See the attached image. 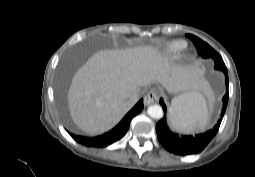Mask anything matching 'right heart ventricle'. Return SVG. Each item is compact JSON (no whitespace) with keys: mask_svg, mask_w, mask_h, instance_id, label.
Segmentation results:
<instances>
[{"mask_svg":"<svg viewBox=\"0 0 255 177\" xmlns=\"http://www.w3.org/2000/svg\"><path fill=\"white\" fill-rule=\"evenodd\" d=\"M186 47L187 43L185 41L173 40L165 45L164 52L166 55L174 57L179 55Z\"/></svg>","mask_w":255,"mask_h":177,"instance_id":"right-heart-ventricle-1","label":"right heart ventricle"}]
</instances>
